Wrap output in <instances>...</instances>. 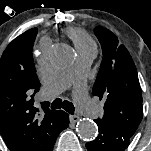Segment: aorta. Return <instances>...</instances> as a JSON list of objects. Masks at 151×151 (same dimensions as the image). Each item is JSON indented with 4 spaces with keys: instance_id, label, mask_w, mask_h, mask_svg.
Masks as SVG:
<instances>
[{
    "instance_id": "obj_1",
    "label": "aorta",
    "mask_w": 151,
    "mask_h": 151,
    "mask_svg": "<svg viewBox=\"0 0 151 151\" xmlns=\"http://www.w3.org/2000/svg\"><path fill=\"white\" fill-rule=\"evenodd\" d=\"M50 62L58 67L70 65L74 59V53L68 45L55 46L48 54ZM77 132L84 140H92L98 133V127L95 122L89 119L80 120L77 123Z\"/></svg>"
}]
</instances>
